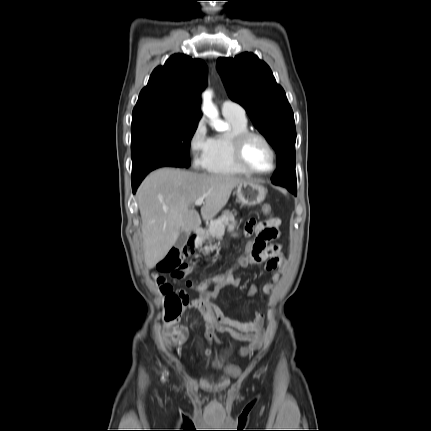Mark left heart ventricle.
<instances>
[{
    "label": "left heart ventricle",
    "mask_w": 431,
    "mask_h": 431,
    "mask_svg": "<svg viewBox=\"0 0 431 431\" xmlns=\"http://www.w3.org/2000/svg\"><path fill=\"white\" fill-rule=\"evenodd\" d=\"M244 158L247 164L260 171L272 166V156L267 146L259 139H250L244 148Z\"/></svg>",
    "instance_id": "left-heart-ventricle-1"
}]
</instances>
